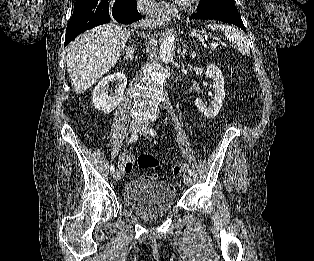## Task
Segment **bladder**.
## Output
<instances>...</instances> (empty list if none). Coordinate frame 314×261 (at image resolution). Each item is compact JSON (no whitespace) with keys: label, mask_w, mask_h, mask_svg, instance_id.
<instances>
[{"label":"bladder","mask_w":314,"mask_h":261,"mask_svg":"<svg viewBox=\"0 0 314 261\" xmlns=\"http://www.w3.org/2000/svg\"><path fill=\"white\" fill-rule=\"evenodd\" d=\"M123 202L145 219H159L174 207L176 188L162 180L130 181L124 186Z\"/></svg>","instance_id":"1"}]
</instances>
